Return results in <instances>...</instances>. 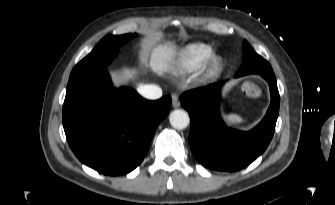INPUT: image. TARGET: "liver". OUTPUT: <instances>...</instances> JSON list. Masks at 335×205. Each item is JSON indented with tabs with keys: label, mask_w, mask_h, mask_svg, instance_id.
Instances as JSON below:
<instances>
[{
	"label": "liver",
	"mask_w": 335,
	"mask_h": 205,
	"mask_svg": "<svg viewBox=\"0 0 335 205\" xmlns=\"http://www.w3.org/2000/svg\"><path fill=\"white\" fill-rule=\"evenodd\" d=\"M175 54V46L170 43L164 45H159L156 48H153L150 53L149 66L153 72L161 75L163 72L168 70V64L172 60L173 55ZM112 75L116 83L126 82L129 79L134 78V72L127 70L112 72Z\"/></svg>",
	"instance_id": "obj_1"
}]
</instances>
